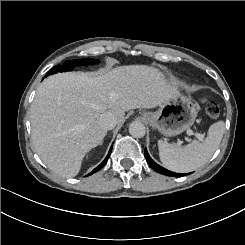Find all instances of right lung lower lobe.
<instances>
[{"label": "right lung lower lobe", "mask_w": 245, "mask_h": 245, "mask_svg": "<svg viewBox=\"0 0 245 245\" xmlns=\"http://www.w3.org/2000/svg\"><path fill=\"white\" fill-rule=\"evenodd\" d=\"M111 151H112V146H111L109 153H108L107 157L105 158V160L99 166H97L91 173H89V175L99 171L106 164V162H107V160L111 154Z\"/></svg>", "instance_id": "obj_1"}]
</instances>
